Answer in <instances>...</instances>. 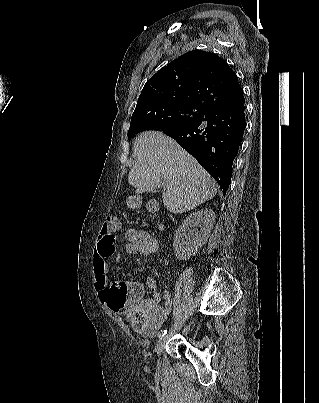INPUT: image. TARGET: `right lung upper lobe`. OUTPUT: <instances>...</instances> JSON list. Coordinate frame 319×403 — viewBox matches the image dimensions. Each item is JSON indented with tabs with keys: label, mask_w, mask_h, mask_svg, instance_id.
<instances>
[{
	"label": "right lung upper lobe",
	"mask_w": 319,
	"mask_h": 403,
	"mask_svg": "<svg viewBox=\"0 0 319 403\" xmlns=\"http://www.w3.org/2000/svg\"><path fill=\"white\" fill-rule=\"evenodd\" d=\"M243 102L232 68L214 53L193 50L171 61L147 81L132 116L163 103L191 104L209 112Z\"/></svg>",
	"instance_id": "1"
}]
</instances>
